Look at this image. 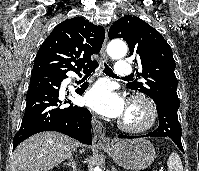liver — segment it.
I'll return each mask as SVG.
<instances>
[{
    "label": "liver",
    "instance_id": "1",
    "mask_svg": "<svg viewBox=\"0 0 199 171\" xmlns=\"http://www.w3.org/2000/svg\"><path fill=\"white\" fill-rule=\"evenodd\" d=\"M79 143L71 137L52 131L31 136L14 151L12 171H49L69 158Z\"/></svg>",
    "mask_w": 199,
    "mask_h": 171
}]
</instances>
